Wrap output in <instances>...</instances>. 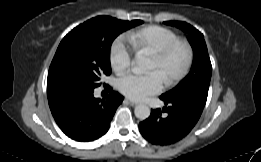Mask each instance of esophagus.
<instances>
[{
	"label": "esophagus",
	"mask_w": 261,
	"mask_h": 162,
	"mask_svg": "<svg viewBox=\"0 0 261 162\" xmlns=\"http://www.w3.org/2000/svg\"><path fill=\"white\" fill-rule=\"evenodd\" d=\"M125 102L128 103V104H130V105H132V106H136V105H137L136 102H133V101H131V100H129V99H125Z\"/></svg>",
	"instance_id": "34e87169"
}]
</instances>
